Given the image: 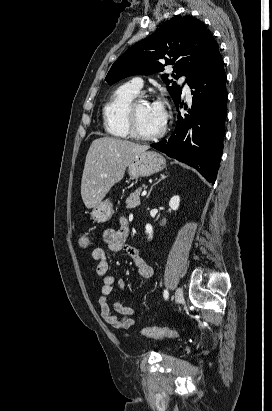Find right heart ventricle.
Listing matches in <instances>:
<instances>
[{
  "label": "right heart ventricle",
  "instance_id": "right-heart-ventricle-1",
  "mask_svg": "<svg viewBox=\"0 0 272 411\" xmlns=\"http://www.w3.org/2000/svg\"><path fill=\"white\" fill-rule=\"evenodd\" d=\"M130 83L119 86L105 103L102 114L107 133L113 137L128 138L130 136L126 110L129 103L138 95Z\"/></svg>",
  "mask_w": 272,
  "mask_h": 411
}]
</instances>
